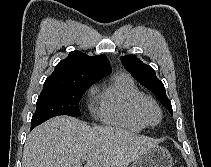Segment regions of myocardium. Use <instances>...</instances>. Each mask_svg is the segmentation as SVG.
Wrapping results in <instances>:
<instances>
[{
	"instance_id": "obj_1",
	"label": "myocardium",
	"mask_w": 211,
	"mask_h": 167,
	"mask_svg": "<svg viewBox=\"0 0 211 167\" xmlns=\"http://www.w3.org/2000/svg\"><path fill=\"white\" fill-rule=\"evenodd\" d=\"M147 105H152L156 108V110L158 111L159 114V119L157 122L153 123L150 122L145 115V109ZM136 113L138 115V117L140 118V120L146 125V126H156L158 124H160V122L163 119V112L162 109L159 105V103L152 97L147 96V95H143L142 97L139 98V100L136 103Z\"/></svg>"
}]
</instances>
